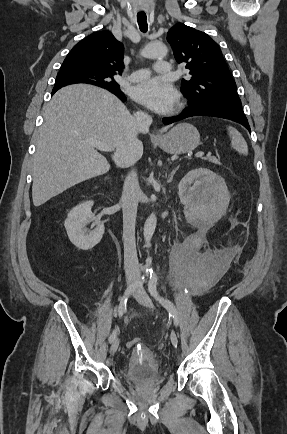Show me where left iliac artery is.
Returning a JSON list of instances; mask_svg holds the SVG:
<instances>
[{"label": "left iliac artery", "instance_id": "44dca946", "mask_svg": "<svg viewBox=\"0 0 287 434\" xmlns=\"http://www.w3.org/2000/svg\"><path fill=\"white\" fill-rule=\"evenodd\" d=\"M157 280H158L157 274L152 271L150 273V280L148 283L149 293L158 303H160L168 311L169 316L172 317L174 320L175 326H178L179 318L177 315V310L174 304L170 300L163 298L162 296L159 295L156 287Z\"/></svg>", "mask_w": 287, "mask_h": 434}]
</instances>
